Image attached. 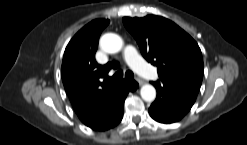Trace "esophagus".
<instances>
[{
  "label": "esophagus",
  "mask_w": 247,
  "mask_h": 145,
  "mask_svg": "<svg viewBox=\"0 0 247 145\" xmlns=\"http://www.w3.org/2000/svg\"><path fill=\"white\" fill-rule=\"evenodd\" d=\"M137 82L140 86H142L145 83L144 80L141 78H137Z\"/></svg>",
  "instance_id": "obj_1"
}]
</instances>
